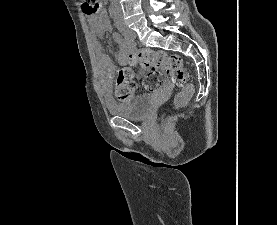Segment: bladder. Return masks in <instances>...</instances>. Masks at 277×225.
<instances>
[{"label":"bladder","mask_w":277,"mask_h":225,"mask_svg":"<svg viewBox=\"0 0 277 225\" xmlns=\"http://www.w3.org/2000/svg\"><path fill=\"white\" fill-rule=\"evenodd\" d=\"M107 108L113 115L139 120L145 118L153 109V97L148 93L139 94L130 101L109 103Z\"/></svg>","instance_id":"obj_1"}]
</instances>
